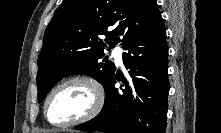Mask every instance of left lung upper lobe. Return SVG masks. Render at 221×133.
Returning <instances> with one entry per match:
<instances>
[{"mask_svg": "<svg viewBox=\"0 0 221 133\" xmlns=\"http://www.w3.org/2000/svg\"><path fill=\"white\" fill-rule=\"evenodd\" d=\"M160 16L156 0H63L45 30L38 57L39 102L69 74H87L105 88L115 66L105 62L103 50L119 42L123 47Z\"/></svg>", "mask_w": 221, "mask_h": 133, "instance_id": "1", "label": "left lung upper lobe"}]
</instances>
